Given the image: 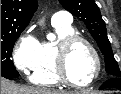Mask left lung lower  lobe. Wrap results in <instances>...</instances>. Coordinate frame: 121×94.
Listing matches in <instances>:
<instances>
[{
	"mask_svg": "<svg viewBox=\"0 0 121 94\" xmlns=\"http://www.w3.org/2000/svg\"><path fill=\"white\" fill-rule=\"evenodd\" d=\"M106 88H117L119 90H121V79L118 78H112L107 80L106 82H104L102 84V86L100 87V89H106Z\"/></svg>",
	"mask_w": 121,
	"mask_h": 94,
	"instance_id": "obj_1",
	"label": "left lung lower lobe"
}]
</instances>
